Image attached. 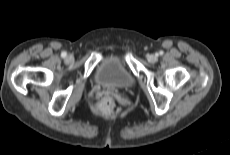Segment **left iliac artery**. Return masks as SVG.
<instances>
[{"label":"left iliac artery","instance_id":"1","mask_svg":"<svg viewBox=\"0 0 230 155\" xmlns=\"http://www.w3.org/2000/svg\"><path fill=\"white\" fill-rule=\"evenodd\" d=\"M159 54H160V55H162V54H163V52H162V51H160V52H159Z\"/></svg>","mask_w":230,"mask_h":155}]
</instances>
